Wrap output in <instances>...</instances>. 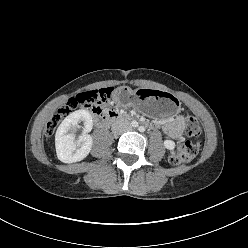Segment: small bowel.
<instances>
[{
  "instance_id": "1",
  "label": "small bowel",
  "mask_w": 248,
  "mask_h": 248,
  "mask_svg": "<svg viewBox=\"0 0 248 248\" xmlns=\"http://www.w3.org/2000/svg\"><path fill=\"white\" fill-rule=\"evenodd\" d=\"M185 119L178 116L170 122H164L161 125L163 132L171 138H178L181 136L184 128Z\"/></svg>"
}]
</instances>
